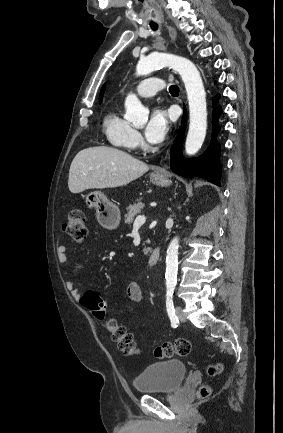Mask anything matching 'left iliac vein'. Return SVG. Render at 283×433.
<instances>
[{"label":"left iliac vein","mask_w":283,"mask_h":433,"mask_svg":"<svg viewBox=\"0 0 283 433\" xmlns=\"http://www.w3.org/2000/svg\"><path fill=\"white\" fill-rule=\"evenodd\" d=\"M176 315L181 322L186 321V317H185V314H184L182 307L176 306Z\"/></svg>","instance_id":"4c4485c4"}]
</instances>
